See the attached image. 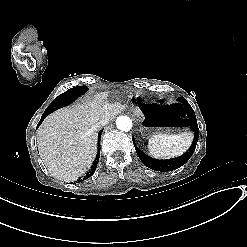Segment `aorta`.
<instances>
[{
	"mask_svg": "<svg viewBox=\"0 0 247 247\" xmlns=\"http://www.w3.org/2000/svg\"><path fill=\"white\" fill-rule=\"evenodd\" d=\"M116 126L119 130L128 132L132 128V120L127 116H119L116 120Z\"/></svg>",
	"mask_w": 247,
	"mask_h": 247,
	"instance_id": "762f6f07",
	"label": "aorta"
}]
</instances>
